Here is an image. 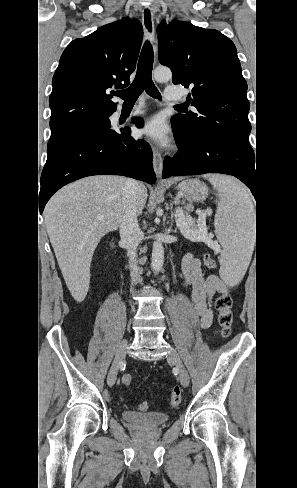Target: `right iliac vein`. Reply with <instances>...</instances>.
<instances>
[{"mask_svg": "<svg viewBox=\"0 0 297 488\" xmlns=\"http://www.w3.org/2000/svg\"><path fill=\"white\" fill-rule=\"evenodd\" d=\"M127 349H128V341L127 339H123L116 350L112 367L107 376V383L110 387L113 386L116 382L119 364L124 359Z\"/></svg>", "mask_w": 297, "mask_h": 488, "instance_id": "right-iliac-vein-1", "label": "right iliac vein"}]
</instances>
